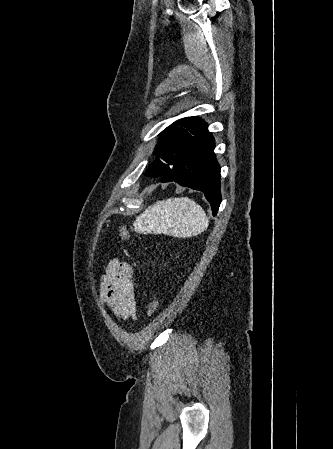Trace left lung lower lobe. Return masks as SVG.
Returning <instances> with one entry per match:
<instances>
[{"label":"left lung lower lobe","mask_w":333,"mask_h":449,"mask_svg":"<svg viewBox=\"0 0 333 449\" xmlns=\"http://www.w3.org/2000/svg\"><path fill=\"white\" fill-rule=\"evenodd\" d=\"M215 142L205 123L198 134L185 161L161 178V182L175 181L178 184L202 191L210 202L213 215H216L220 203V166L214 154ZM152 163L146 175L153 171Z\"/></svg>","instance_id":"obj_1"}]
</instances>
